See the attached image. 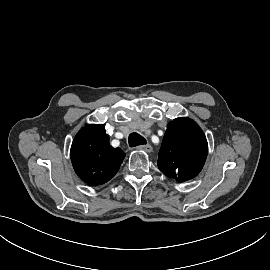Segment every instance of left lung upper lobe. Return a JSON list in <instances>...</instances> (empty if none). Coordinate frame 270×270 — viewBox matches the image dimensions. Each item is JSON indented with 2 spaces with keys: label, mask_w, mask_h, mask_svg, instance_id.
<instances>
[{
  "label": "left lung upper lobe",
  "mask_w": 270,
  "mask_h": 270,
  "mask_svg": "<svg viewBox=\"0 0 270 270\" xmlns=\"http://www.w3.org/2000/svg\"><path fill=\"white\" fill-rule=\"evenodd\" d=\"M207 153L208 144L201 128L189 118H176L167 126L159 151L158 168L181 183L199 174Z\"/></svg>",
  "instance_id": "obj_1"
}]
</instances>
